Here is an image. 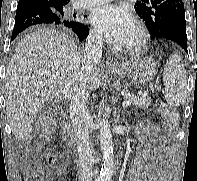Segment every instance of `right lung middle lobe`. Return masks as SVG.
<instances>
[{"instance_id":"1","label":"right lung middle lobe","mask_w":197,"mask_h":181,"mask_svg":"<svg viewBox=\"0 0 197 181\" xmlns=\"http://www.w3.org/2000/svg\"><path fill=\"white\" fill-rule=\"evenodd\" d=\"M49 8L53 10L55 14H57L61 19L63 20H68L66 15L64 14V7L65 5H51V4H46Z\"/></svg>"}]
</instances>
